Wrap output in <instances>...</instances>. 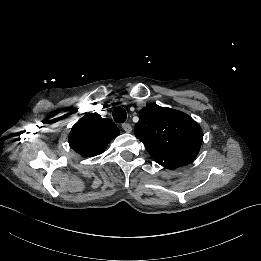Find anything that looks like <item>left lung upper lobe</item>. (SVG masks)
Here are the masks:
<instances>
[{"label": "left lung upper lobe", "instance_id": "obj_1", "mask_svg": "<svg viewBox=\"0 0 261 261\" xmlns=\"http://www.w3.org/2000/svg\"><path fill=\"white\" fill-rule=\"evenodd\" d=\"M135 136L144 143L154 161L174 169L196 158L203 133L189 115L149 104L140 111Z\"/></svg>", "mask_w": 261, "mask_h": 261}]
</instances>
